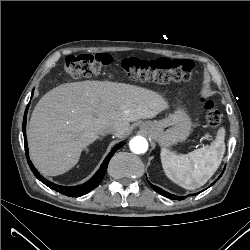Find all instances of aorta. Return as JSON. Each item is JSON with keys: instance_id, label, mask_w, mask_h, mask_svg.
Masks as SVG:
<instances>
[{"instance_id": "aorta-1", "label": "aorta", "mask_w": 250, "mask_h": 250, "mask_svg": "<svg viewBox=\"0 0 250 250\" xmlns=\"http://www.w3.org/2000/svg\"><path fill=\"white\" fill-rule=\"evenodd\" d=\"M130 149L135 154H142L148 150V142L144 137L136 136L130 140Z\"/></svg>"}]
</instances>
